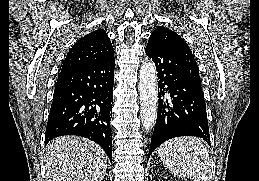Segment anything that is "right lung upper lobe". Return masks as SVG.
<instances>
[{"instance_id": "1", "label": "right lung upper lobe", "mask_w": 259, "mask_h": 181, "mask_svg": "<svg viewBox=\"0 0 259 181\" xmlns=\"http://www.w3.org/2000/svg\"><path fill=\"white\" fill-rule=\"evenodd\" d=\"M114 54L111 41L103 29L93 31L79 39L69 50L61 71L100 61Z\"/></svg>"}]
</instances>
